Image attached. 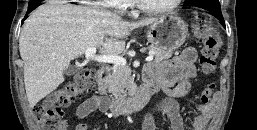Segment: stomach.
<instances>
[{"label":"stomach","instance_id":"0dacf381","mask_svg":"<svg viewBox=\"0 0 257 130\" xmlns=\"http://www.w3.org/2000/svg\"><path fill=\"white\" fill-rule=\"evenodd\" d=\"M187 25L176 14H167L153 22L146 31V37L156 47L175 50L186 40Z\"/></svg>","mask_w":257,"mask_h":130}]
</instances>
